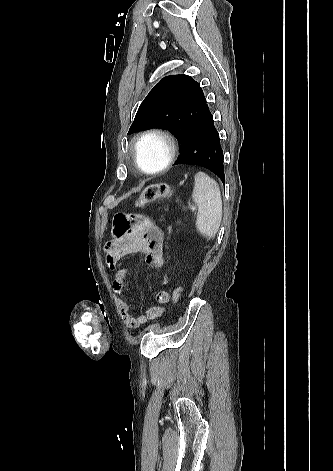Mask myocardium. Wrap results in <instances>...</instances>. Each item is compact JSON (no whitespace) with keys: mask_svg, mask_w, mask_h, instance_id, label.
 <instances>
[{"mask_svg":"<svg viewBox=\"0 0 333 471\" xmlns=\"http://www.w3.org/2000/svg\"><path fill=\"white\" fill-rule=\"evenodd\" d=\"M153 137L158 138L161 141H163V143L166 146V151L167 152H166V157H165L163 163L159 167H157L155 169L148 170V169L144 168L141 165L140 161H139L138 149H139L140 144L145 139L153 138ZM176 149H177V146H176L175 139L173 138V136L169 132H167L163 129H160V128H151V129H147V130L141 132L134 139V141L132 143V160H133V163H134L135 167L139 171H141L144 174L154 175V174H158V173L164 171L165 169H167L169 167V165L172 163V161L175 157Z\"/></svg>","mask_w":333,"mask_h":471,"instance_id":"f54148a6","label":"myocardium"}]
</instances>
